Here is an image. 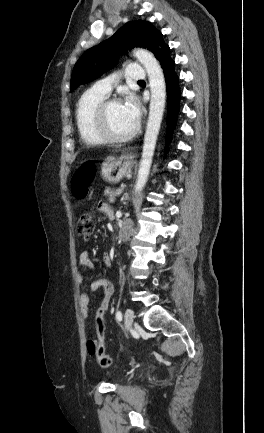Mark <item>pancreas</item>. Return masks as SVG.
<instances>
[{
	"mask_svg": "<svg viewBox=\"0 0 264 433\" xmlns=\"http://www.w3.org/2000/svg\"><path fill=\"white\" fill-rule=\"evenodd\" d=\"M104 194L106 196H108V200L110 203H114L116 200V197L118 196V194L116 193V191L114 189H111L109 187H107L104 191Z\"/></svg>",
	"mask_w": 264,
	"mask_h": 433,
	"instance_id": "pancreas-1",
	"label": "pancreas"
}]
</instances>
